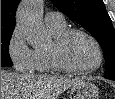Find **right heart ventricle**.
<instances>
[{"instance_id":"right-heart-ventricle-1","label":"right heart ventricle","mask_w":115,"mask_h":99,"mask_svg":"<svg viewBox=\"0 0 115 99\" xmlns=\"http://www.w3.org/2000/svg\"><path fill=\"white\" fill-rule=\"evenodd\" d=\"M47 28L53 39L67 29L65 23L47 24ZM49 48L50 46L47 48L36 49L34 51V63L32 71L38 73H50L57 70L50 60Z\"/></svg>"}]
</instances>
